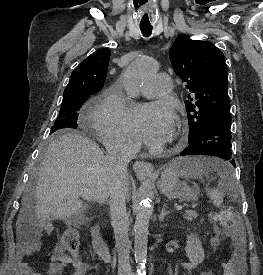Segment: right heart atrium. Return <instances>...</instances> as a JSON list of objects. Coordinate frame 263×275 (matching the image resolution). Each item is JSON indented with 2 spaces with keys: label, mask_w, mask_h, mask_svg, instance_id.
I'll use <instances>...</instances> for the list:
<instances>
[{
  "label": "right heart atrium",
  "mask_w": 263,
  "mask_h": 275,
  "mask_svg": "<svg viewBox=\"0 0 263 275\" xmlns=\"http://www.w3.org/2000/svg\"><path fill=\"white\" fill-rule=\"evenodd\" d=\"M130 114L113 89L103 93L90 111V127L96 136L109 147L135 149L138 138Z\"/></svg>",
  "instance_id": "d8ad5b80"
}]
</instances>
